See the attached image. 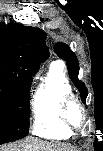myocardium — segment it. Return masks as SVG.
Wrapping results in <instances>:
<instances>
[{
    "instance_id": "1",
    "label": "myocardium",
    "mask_w": 103,
    "mask_h": 151,
    "mask_svg": "<svg viewBox=\"0 0 103 151\" xmlns=\"http://www.w3.org/2000/svg\"><path fill=\"white\" fill-rule=\"evenodd\" d=\"M73 105L77 106L81 111L82 120L80 123H75L70 117V109ZM59 116L63 124L70 130H80L84 128L87 122V111L85 106L80 99L72 93L67 94L62 98L60 102Z\"/></svg>"
}]
</instances>
